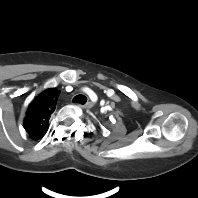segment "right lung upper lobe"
<instances>
[{
	"label": "right lung upper lobe",
	"instance_id": "obj_1",
	"mask_svg": "<svg viewBox=\"0 0 198 198\" xmlns=\"http://www.w3.org/2000/svg\"><path fill=\"white\" fill-rule=\"evenodd\" d=\"M60 91L46 89L28 106L24 119V128L34 139H39L48 129V122L56 107Z\"/></svg>",
	"mask_w": 198,
	"mask_h": 198
}]
</instances>
